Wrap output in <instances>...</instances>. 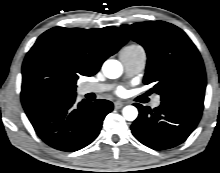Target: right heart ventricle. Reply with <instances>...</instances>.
Segmentation results:
<instances>
[{
  "instance_id": "obj_1",
  "label": "right heart ventricle",
  "mask_w": 220,
  "mask_h": 173,
  "mask_svg": "<svg viewBox=\"0 0 220 173\" xmlns=\"http://www.w3.org/2000/svg\"><path fill=\"white\" fill-rule=\"evenodd\" d=\"M140 48L139 46H132L131 49H137Z\"/></svg>"
}]
</instances>
